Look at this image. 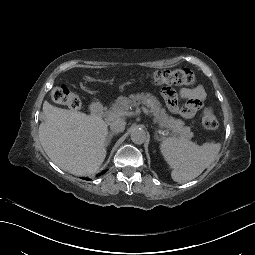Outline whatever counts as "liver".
<instances>
[{"instance_id": "1", "label": "liver", "mask_w": 255, "mask_h": 255, "mask_svg": "<svg viewBox=\"0 0 255 255\" xmlns=\"http://www.w3.org/2000/svg\"><path fill=\"white\" fill-rule=\"evenodd\" d=\"M39 140L59 168L75 175L99 170L107 154L108 124L100 117L43 103ZM119 120L126 122V118Z\"/></svg>"}]
</instances>
